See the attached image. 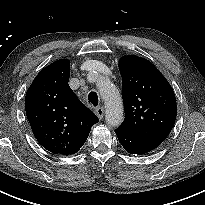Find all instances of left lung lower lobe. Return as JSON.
Masks as SVG:
<instances>
[{"mask_svg":"<svg viewBox=\"0 0 205 205\" xmlns=\"http://www.w3.org/2000/svg\"><path fill=\"white\" fill-rule=\"evenodd\" d=\"M115 133L121 145L130 154L142 155L159 146L157 143L132 135L121 128H117Z\"/></svg>","mask_w":205,"mask_h":205,"instance_id":"1","label":"left lung lower lobe"}]
</instances>
